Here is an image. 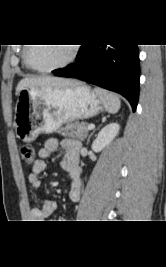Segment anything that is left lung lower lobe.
<instances>
[{"mask_svg":"<svg viewBox=\"0 0 166 267\" xmlns=\"http://www.w3.org/2000/svg\"><path fill=\"white\" fill-rule=\"evenodd\" d=\"M139 71L137 45H82L74 64L56 69L53 73L120 93L135 111L139 95Z\"/></svg>","mask_w":166,"mask_h":267,"instance_id":"1","label":"left lung lower lobe"}]
</instances>
